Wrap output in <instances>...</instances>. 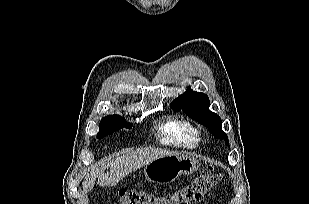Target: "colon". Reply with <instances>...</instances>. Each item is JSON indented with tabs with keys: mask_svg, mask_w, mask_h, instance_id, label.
<instances>
[{
	"mask_svg": "<svg viewBox=\"0 0 309 204\" xmlns=\"http://www.w3.org/2000/svg\"><path fill=\"white\" fill-rule=\"evenodd\" d=\"M219 180V175L209 167L187 185L165 195H158L144 190L119 189L117 198L120 204H192Z\"/></svg>",
	"mask_w": 309,
	"mask_h": 204,
	"instance_id": "1",
	"label": "colon"
}]
</instances>
